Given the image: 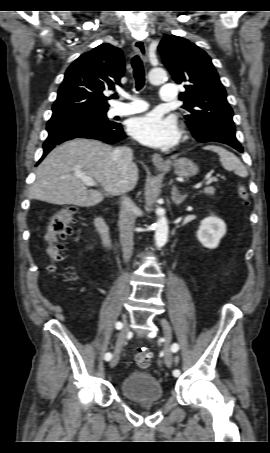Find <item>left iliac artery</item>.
I'll use <instances>...</instances> for the list:
<instances>
[{"mask_svg": "<svg viewBox=\"0 0 270 453\" xmlns=\"http://www.w3.org/2000/svg\"><path fill=\"white\" fill-rule=\"evenodd\" d=\"M172 352H177L179 350V345L177 343H174L171 347ZM180 375V370L175 369L173 371V376L178 377Z\"/></svg>", "mask_w": 270, "mask_h": 453, "instance_id": "obj_1", "label": "left iliac artery"}]
</instances>
